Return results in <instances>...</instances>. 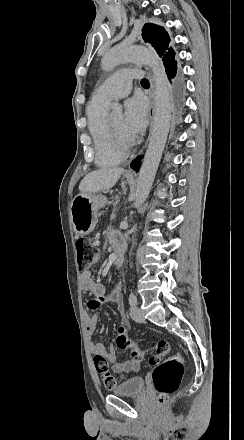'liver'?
I'll list each match as a JSON object with an SVG mask.
<instances>
[{
  "label": "liver",
  "instance_id": "6515ba94",
  "mask_svg": "<svg viewBox=\"0 0 244 440\" xmlns=\"http://www.w3.org/2000/svg\"><path fill=\"white\" fill-rule=\"evenodd\" d=\"M123 168H100L95 172H90L79 184L81 194H96L102 190H110L118 182Z\"/></svg>",
  "mask_w": 244,
  "mask_h": 440
}]
</instances>
